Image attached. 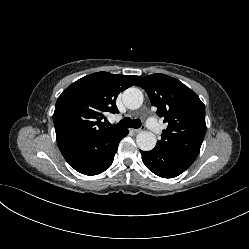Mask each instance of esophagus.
Instances as JSON below:
<instances>
[{"mask_svg": "<svg viewBox=\"0 0 249 249\" xmlns=\"http://www.w3.org/2000/svg\"><path fill=\"white\" fill-rule=\"evenodd\" d=\"M144 130H145V127L143 126V127L139 128V129H133V132L134 133H140V132H142Z\"/></svg>", "mask_w": 249, "mask_h": 249, "instance_id": "34e87169", "label": "esophagus"}]
</instances>
